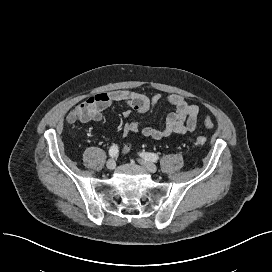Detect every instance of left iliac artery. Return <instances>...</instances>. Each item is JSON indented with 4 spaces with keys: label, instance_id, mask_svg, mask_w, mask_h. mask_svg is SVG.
<instances>
[{
    "label": "left iliac artery",
    "instance_id": "obj_1",
    "mask_svg": "<svg viewBox=\"0 0 272 272\" xmlns=\"http://www.w3.org/2000/svg\"><path fill=\"white\" fill-rule=\"evenodd\" d=\"M141 155L146 160L152 161V162H156L159 159L158 155H156L154 153H142Z\"/></svg>",
    "mask_w": 272,
    "mask_h": 272
}]
</instances>
